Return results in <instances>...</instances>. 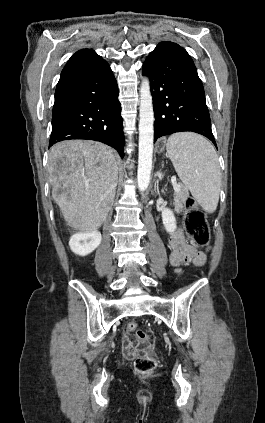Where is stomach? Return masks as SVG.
Here are the masks:
<instances>
[{
  "instance_id": "stomach-1",
  "label": "stomach",
  "mask_w": 265,
  "mask_h": 423,
  "mask_svg": "<svg viewBox=\"0 0 265 423\" xmlns=\"http://www.w3.org/2000/svg\"><path fill=\"white\" fill-rule=\"evenodd\" d=\"M163 149V146H160V150H162Z\"/></svg>"
}]
</instances>
